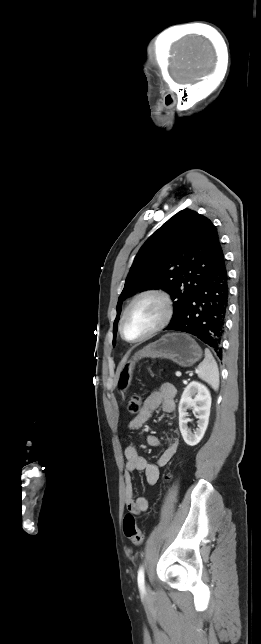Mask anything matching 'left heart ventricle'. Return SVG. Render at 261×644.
<instances>
[{
    "label": "left heart ventricle",
    "instance_id": "b2bd125f",
    "mask_svg": "<svg viewBox=\"0 0 261 644\" xmlns=\"http://www.w3.org/2000/svg\"><path fill=\"white\" fill-rule=\"evenodd\" d=\"M163 315V305L157 298L146 297L136 302L125 322V335L137 339L154 328Z\"/></svg>",
    "mask_w": 261,
    "mask_h": 644
}]
</instances>
